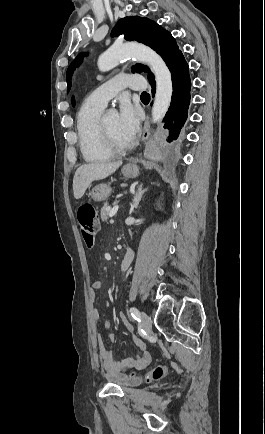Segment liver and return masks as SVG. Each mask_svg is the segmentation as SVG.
Returning <instances> with one entry per match:
<instances>
[{"mask_svg": "<svg viewBox=\"0 0 265 434\" xmlns=\"http://www.w3.org/2000/svg\"><path fill=\"white\" fill-rule=\"evenodd\" d=\"M121 164L122 162H109V164L99 162V164H83V166H80V168L76 170L73 178L74 198H76V200L82 198L88 186H90L94 180H104V178H108V176L116 172Z\"/></svg>", "mask_w": 265, "mask_h": 434, "instance_id": "obj_1", "label": "liver"}]
</instances>
